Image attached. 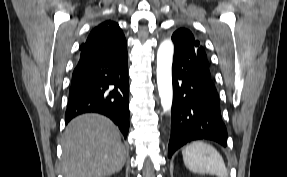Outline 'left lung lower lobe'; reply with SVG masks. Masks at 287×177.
Instances as JSON below:
<instances>
[{
  "mask_svg": "<svg viewBox=\"0 0 287 177\" xmlns=\"http://www.w3.org/2000/svg\"><path fill=\"white\" fill-rule=\"evenodd\" d=\"M173 104L168 157L181 146L197 139L227 145L219 97L211 74L174 52L172 65Z\"/></svg>",
  "mask_w": 287,
  "mask_h": 177,
  "instance_id": "0a47b994",
  "label": "left lung lower lobe"
}]
</instances>
